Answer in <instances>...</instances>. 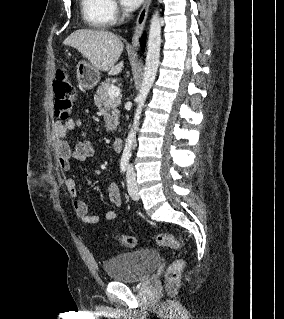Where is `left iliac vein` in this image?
<instances>
[{"label": "left iliac vein", "instance_id": "obj_1", "mask_svg": "<svg viewBox=\"0 0 284 319\" xmlns=\"http://www.w3.org/2000/svg\"><path fill=\"white\" fill-rule=\"evenodd\" d=\"M127 189L130 197L133 200H139V193L137 188V183L135 180V175L131 168L128 169L127 172Z\"/></svg>", "mask_w": 284, "mask_h": 319}]
</instances>
